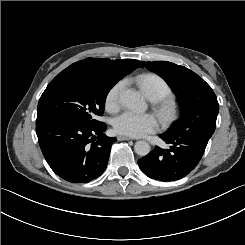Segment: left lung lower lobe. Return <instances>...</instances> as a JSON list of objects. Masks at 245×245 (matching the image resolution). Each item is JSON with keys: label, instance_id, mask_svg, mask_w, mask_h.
Returning <instances> with one entry per match:
<instances>
[{"label": "left lung lower lobe", "instance_id": "obj_1", "mask_svg": "<svg viewBox=\"0 0 245 245\" xmlns=\"http://www.w3.org/2000/svg\"><path fill=\"white\" fill-rule=\"evenodd\" d=\"M217 113L206 110L189 118L180 129L169 130L159 135L169 149L155 147L148 155L138 160L142 172L159 181H175L188 175L198 165L208 140L216 127Z\"/></svg>", "mask_w": 245, "mask_h": 245}]
</instances>
